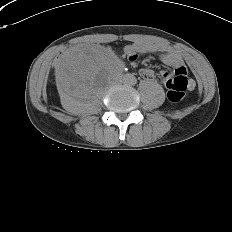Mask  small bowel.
<instances>
[{"instance_id": "c3829d8e", "label": "small bowel", "mask_w": 232, "mask_h": 232, "mask_svg": "<svg viewBox=\"0 0 232 232\" xmlns=\"http://www.w3.org/2000/svg\"><path fill=\"white\" fill-rule=\"evenodd\" d=\"M126 53L130 56V60L135 63L137 59V54H154L158 53L160 55L161 61L174 68L175 74H183L187 76V68L185 63L180 55V53L172 49L169 46L164 44L149 42V41H136L130 45H128L125 49ZM139 74L144 79H152L154 74L150 69H140ZM170 76L168 73H163L162 77L165 80L166 77ZM190 81V88L193 89L195 87V82L192 79Z\"/></svg>"}]
</instances>
